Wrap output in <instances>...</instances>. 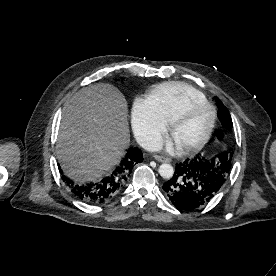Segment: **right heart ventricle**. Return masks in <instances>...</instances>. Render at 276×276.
Here are the masks:
<instances>
[{"label":"right heart ventricle","instance_id":"obj_1","mask_svg":"<svg viewBox=\"0 0 276 276\" xmlns=\"http://www.w3.org/2000/svg\"><path fill=\"white\" fill-rule=\"evenodd\" d=\"M193 99H206L194 87L183 82H165L150 92L147 101L155 113L166 123Z\"/></svg>","mask_w":276,"mask_h":276}]
</instances>
